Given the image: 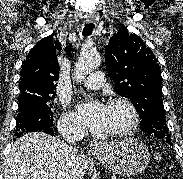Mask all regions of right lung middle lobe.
Listing matches in <instances>:
<instances>
[{"instance_id": "obj_1", "label": "right lung middle lobe", "mask_w": 183, "mask_h": 179, "mask_svg": "<svg viewBox=\"0 0 183 179\" xmlns=\"http://www.w3.org/2000/svg\"><path fill=\"white\" fill-rule=\"evenodd\" d=\"M50 100L51 96L19 100L15 136L53 126Z\"/></svg>"}]
</instances>
